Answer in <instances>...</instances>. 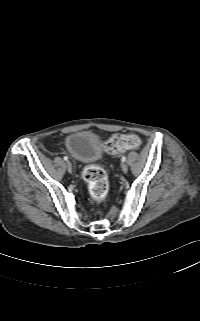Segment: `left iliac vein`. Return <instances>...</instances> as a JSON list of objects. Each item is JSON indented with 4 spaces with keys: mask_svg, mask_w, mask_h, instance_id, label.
Here are the masks:
<instances>
[{
    "mask_svg": "<svg viewBox=\"0 0 200 321\" xmlns=\"http://www.w3.org/2000/svg\"><path fill=\"white\" fill-rule=\"evenodd\" d=\"M121 168H122V171H123L124 173H127V171H128V166H127L126 163L122 162V163H121Z\"/></svg>",
    "mask_w": 200,
    "mask_h": 321,
    "instance_id": "4c4485c4",
    "label": "left iliac vein"
}]
</instances>
